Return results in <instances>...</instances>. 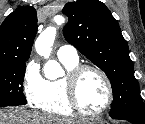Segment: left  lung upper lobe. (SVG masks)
Returning <instances> with one entry per match:
<instances>
[{"label":"left lung upper lobe","instance_id":"5c2ea615","mask_svg":"<svg viewBox=\"0 0 145 124\" xmlns=\"http://www.w3.org/2000/svg\"><path fill=\"white\" fill-rule=\"evenodd\" d=\"M63 13L69 18L63 30L65 39L110 79L113 90L110 116L145 122V106L128 45L108 8L98 0H77L67 3Z\"/></svg>","mask_w":145,"mask_h":124}]
</instances>
